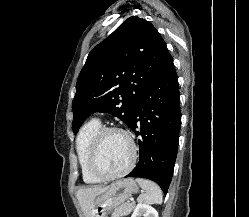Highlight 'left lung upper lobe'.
I'll list each match as a JSON object with an SVG mask.
<instances>
[{
    "instance_id": "obj_1",
    "label": "left lung upper lobe",
    "mask_w": 249,
    "mask_h": 217,
    "mask_svg": "<svg viewBox=\"0 0 249 217\" xmlns=\"http://www.w3.org/2000/svg\"><path fill=\"white\" fill-rule=\"evenodd\" d=\"M170 56L148 21L133 16L89 53L72 102L73 132L94 112L117 116L128 126L134 109Z\"/></svg>"
}]
</instances>
